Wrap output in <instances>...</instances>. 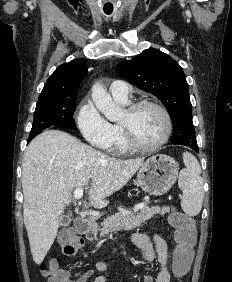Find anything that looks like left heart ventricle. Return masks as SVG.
Returning a JSON list of instances; mask_svg holds the SVG:
<instances>
[{"label":"left heart ventricle","mask_w":232,"mask_h":282,"mask_svg":"<svg viewBox=\"0 0 232 282\" xmlns=\"http://www.w3.org/2000/svg\"><path fill=\"white\" fill-rule=\"evenodd\" d=\"M121 122L130 126L135 139L143 145L157 143L166 131L162 113L151 106H144L134 113L125 111Z\"/></svg>","instance_id":"obj_1"}]
</instances>
